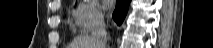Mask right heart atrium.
<instances>
[{"label": "right heart atrium", "mask_w": 213, "mask_h": 48, "mask_svg": "<svg viewBox=\"0 0 213 48\" xmlns=\"http://www.w3.org/2000/svg\"><path fill=\"white\" fill-rule=\"evenodd\" d=\"M72 14L75 25L82 33L91 31L103 21V14L96 1H78Z\"/></svg>", "instance_id": "d8ad5b80"}]
</instances>
